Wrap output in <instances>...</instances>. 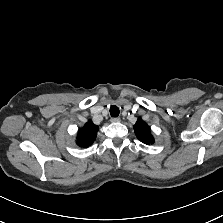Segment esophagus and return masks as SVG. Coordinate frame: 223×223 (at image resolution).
<instances>
[{"label": "esophagus", "instance_id": "1", "mask_svg": "<svg viewBox=\"0 0 223 223\" xmlns=\"http://www.w3.org/2000/svg\"><path fill=\"white\" fill-rule=\"evenodd\" d=\"M110 121H111L112 123H117V122H120L121 120H120L119 117H113V118H111Z\"/></svg>", "mask_w": 223, "mask_h": 223}]
</instances>
